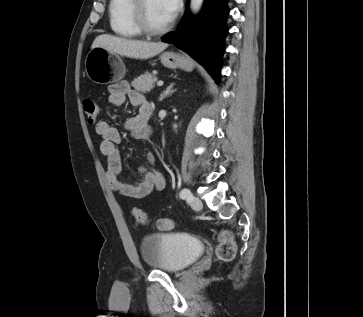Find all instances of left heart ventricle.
<instances>
[{"mask_svg":"<svg viewBox=\"0 0 363 317\" xmlns=\"http://www.w3.org/2000/svg\"><path fill=\"white\" fill-rule=\"evenodd\" d=\"M145 17L153 28H161L169 23L161 0H146Z\"/></svg>","mask_w":363,"mask_h":317,"instance_id":"obj_1","label":"left heart ventricle"}]
</instances>
